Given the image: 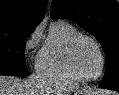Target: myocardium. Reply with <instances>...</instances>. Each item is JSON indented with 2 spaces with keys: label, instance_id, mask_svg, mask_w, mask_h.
I'll return each mask as SVG.
<instances>
[{
  "label": "myocardium",
  "instance_id": "obj_1",
  "mask_svg": "<svg viewBox=\"0 0 119 95\" xmlns=\"http://www.w3.org/2000/svg\"><path fill=\"white\" fill-rule=\"evenodd\" d=\"M81 40H88L90 42H92L98 49L100 56H101V68L99 73L96 76L93 77H88L83 75L77 68L76 64H75V50L77 45L79 44V42ZM66 58H67V64L68 67L70 68V70L72 71V73L78 77L80 80H84V81H94L99 79L104 71H105V67H106V55L105 52L103 50V47L101 46V44L99 43V41L97 39H95L94 37L90 36V35H86V34H78L76 35L69 43L68 48H67V54H66Z\"/></svg>",
  "mask_w": 119,
  "mask_h": 95
}]
</instances>
